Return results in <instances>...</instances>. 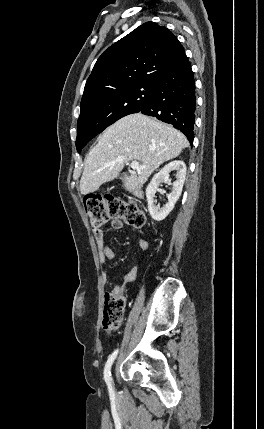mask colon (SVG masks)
Instances as JSON below:
<instances>
[{
  "mask_svg": "<svg viewBox=\"0 0 264 429\" xmlns=\"http://www.w3.org/2000/svg\"><path fill=\"white\" fill-rule=\"evenodd\" d=\"M85 211L93 230L98 233L110 219H121L134 228L146 221L144 212L132 202L112 195H88L84 199ZM126 299L122 293L105 294L102 325L107 332L118 330L124 319Z\"/></svg>",
  "mask_w": 264,
  "mask_h": 429,
  "instance_id": "colon-1",
  "label": "colon"
}]
</instances>
